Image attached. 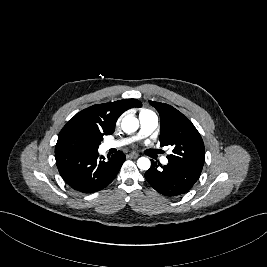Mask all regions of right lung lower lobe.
Returning a JSON list of instances; mask_svg holds the SVG:
<instances>
[{
    "label": "right lung lower lobe",
    "mask_w": 267,
    "mask_h": 267,
    "mask_svg": "<svg viewBox=\"0 0 267 267\" xmlns=\"http://www.w3.org/2000/svg\"><path fill=\"white\" fill-rule=\"evenodd\" d=\"M56 165L64 181L82 193H94L108 186L117 176L124 160L123 152L108 156L98 155V151L85 153L55 154Z\"/></svg>",
    "instance_id": "98d812e1"
}]
</instances>
